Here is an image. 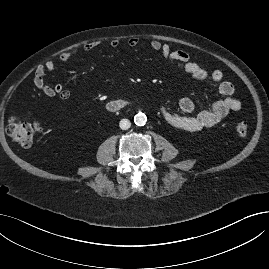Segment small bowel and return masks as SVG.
I'll return each instance as SVG.
<instances>
[{
  "label": "small bowel",
  "instance_id": "c3829d8e",
  "mask_svg": "<svg viewBox=\"0 0 269 269\" xmlns=\"http://www.w3.org/2000/svg\"><path fill=\"white\" fill-rule=\"evenodd\" d=\"M139 40L136 37H131L127 41L130 48H136ZM99 45L98 42H90L84 46V51L90 52ZM108 45L112 48H118L120 42L114 38L108 41ZM152 50L159 52L162 57L170 63L180 67L184 72L192 76L196 80L204 81L207 79L217 83L218 90L223 98L216 100L210 108L201 111L197 115H191L194 110V102L189 97H184L179 101V109L181 115L173 114L165 107H160L159 112L162 119L170 126L184 130V131H200L212 127L221 122L230 112H238L242 109L240 100L232 97L234 94V85L225 81L223 73L220 70H213L209 72L200 64L191 60L190 55L183 50H173L168 44L159 40H152L150 42ZM77 51H67L61 54L60 60L63 63L68 62ZM55 64L48 61L44 65L37 67L34 74L35 86L46 96H58L62 99H68L71 96L69 89L61 84L49 85L45 81L47 73L52 72Z\"/></svg>",
  "mask_w": 269,
  "mask_h": 269
}]
</instances>
